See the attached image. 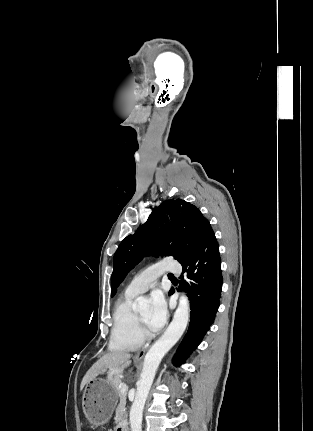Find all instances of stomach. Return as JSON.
<instances>
[{
  "label": "stomach",
  "instance_id": "obj_1",
  "mask_svg": "<svg viewBox=\"0 0 313 431\" xmlns=\"http://www.w3.org/2000/svg\"><path fill=\"white\" fill-rule=\"evenodd\" d=\"M117 401V393L109 379L95 378L88 382L83 392L82 407L93 426L108 422Z\"/></svg>",
  "mask_w": 313,
  "mask_h": 431
}]
</instances>
